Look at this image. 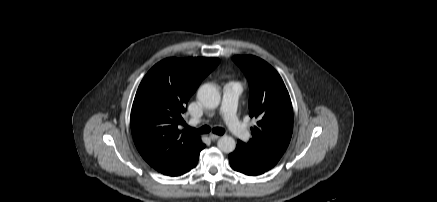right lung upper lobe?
Segmentation results:
<instances>
[{
  "label": "right lung upper lobe",
  "instance_id": "1",
  "mask_svg": "<svg viewBox=\"0 0 437 202\" xmlns=\"http://www.w3.org/2000/svg\"><path fill=\"white\" fill-rule=\"evenodd\" d=\"M217 58H167L154 65L140 83L131 110L137 150L157 171L166 174L201 144L198 135L178 128L189 98L216 68Z\"/></svg>",
  "mask_w": 437,
  "mask_h": 202
}]
</instances>
